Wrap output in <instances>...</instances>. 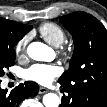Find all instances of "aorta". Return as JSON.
Segmentation results:
<instances>
[{"label":"aorta","mask_w":107,"mask_h":107,"mask_svg":"<svg viewBox=\"0 0 107 107\" xmlns=\"http://www.w3.org/2000/svg\"><path fill=\"white\" fill-rule=\"evenodd\" d=\"M50 48L41 42H32L27 47V54L36 61H46L49 55ZM43 104L45 107H58L60 99L54 93H47L43 96Z\"/></svg>","instance_id":"762f6f07"}]
</instances>
